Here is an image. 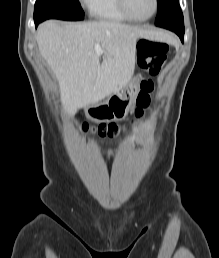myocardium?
<instances>
[{
    "label": "myocardium",
    "instance_id": "obj_1",
    "mask_svg": "<svg viewBox=\"0 0 219 258\" xmlns=\"http://www.w3.org/2000/svg\"><path fill=\"white\" fill-rule=\"evenodd\" d=\"M117 2H118V6H119L121 12L129 20L135 21V22H145V21H148V20L152 19L156 15V13L159 9V0H154V9H153L152 13L147 17L138 18V17L133 16L131 14V12L129 11L128 6H127V0H117Z\"/></svg>",
    "mask_w": 219,
    "mask_h": 258
}]
</instances>
